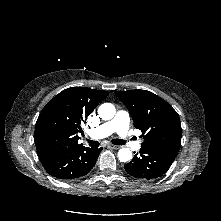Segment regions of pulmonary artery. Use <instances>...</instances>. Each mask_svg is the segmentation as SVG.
<instances>
[{"label": "pulmonary artery", "mask_w": 221, "mask_h": 221, "mask_svg": "<svg viewBox=\"0 0 221 221\" xmlns=\"http://www.w3.org/2000/svg\"><path fill=\"white\" fill-rule=\"evenodd\" d=\"M129 114L125 111H119L115 117L98 127L91 129L87 135L92 139L105 138L113 133H117L130 147L140 149L139 142H134L129 131Z\"/></svg>", "instance_id": "pulmonary-artery-1"}]
</instances>
